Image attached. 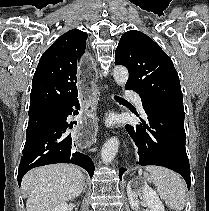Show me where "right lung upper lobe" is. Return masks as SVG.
Here are the masks:
<instances>
[{
  "label": "right lung upper lobe",
  "mask_w": 209,
  "mask_h": 211,
  "mask_svg": "<svg viewBox=\"0 0 209 211\" xmlns=\"http://www.w3.org/2000/svg\"><path fill=\"white\" fill-rule=\"evenodd\" d=\"M87 33L72 29L42 55L32 81L29 112L57 109L77 99V66L83 59Z\"/></svg>",
  "instance_id": "cb5924a9"
}]
</instances>
